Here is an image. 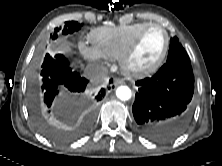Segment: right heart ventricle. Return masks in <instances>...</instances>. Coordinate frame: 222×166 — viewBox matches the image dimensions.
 Here are the masks:
<instances>
[{
  "mask_svg": "<svg viewBox=\"0 0 222 166\" xmlns=\"http://www.w3.org/2000/svg\"><path fill=\"white\" fill-rule=\"evenodd\" d=\"M147 24L148 22H138L125 26L97 28L91 32L90 42L102 57L119 60L130 41Z\"/></svg>",
  "mask_w": 222,
  "mask_h": 166,
  "instance_id": "1",
  "label": "right heart ventricle"
}]
</instances>
